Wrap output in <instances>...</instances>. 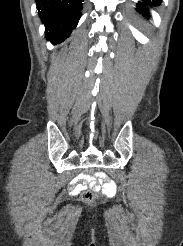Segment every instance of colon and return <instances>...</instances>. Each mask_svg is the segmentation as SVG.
Returning a JSON list of instances; mask_svg holds the SVG:
<instances>
[{
    "mask_svg": "<svg viewBox=\"0 0 183 246\" xmlns=\"http://www.w3.org/2000/svg\"><path fill=\"white\" fill-rule=\"evenodd\" d=\"M85 170L88 175H93L95 173L93 167H86ZM81 198L84 203L91 204L96 198V193L91 190H86L82 193Z\"/></svg>",
    "mask_w": 183,
    "mask_h": 246,
    "instance_id": "5ec220e1",
    "label": "colon"
}]
</instances>
